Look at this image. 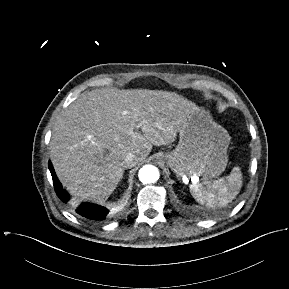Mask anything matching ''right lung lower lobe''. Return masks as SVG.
<instances>
[{"label": "right lung lower lobe", "mask_w": 289, "mask_h": 289, "mask_svg": "<svg viewBox=\"0 0 289 289\" xmlns=\"http://www.w3.org/2000/svg\"><path fill=\"white\" fill-rule=\"evenodd\" d=\"M49 169L52 175L54 188L58 197L65 203L69 201V195L67 192L62 188L61 184L59 183L57 176L54 172L53 166L51 162H49ZM73 208L75 211L82 217L89 219L94 222H100L106 219L109 210L103 206L92 204V203H79L73 204Z\"/></svg>", "instance_id": "1"}]
</instances>
